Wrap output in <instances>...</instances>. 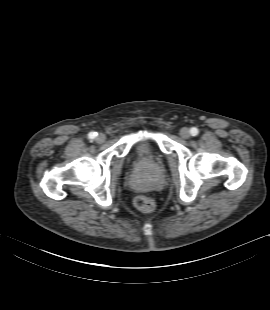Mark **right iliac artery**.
<instances>
[{"mask_svg":"<svg viewBox=\"0 0 270 310\" xmlns=\"http://www.w3.org/2000/svg\"><path fill=\"white\" fill-rule=\"evenodd\" d=\"M88 136L90 139H94L97 136V133L96 132H90Z\"/></svg>","mask_w":270,"mask_h":310,"instance_id":"82829eb1","label":"right iliac artery"}]
</instances>
